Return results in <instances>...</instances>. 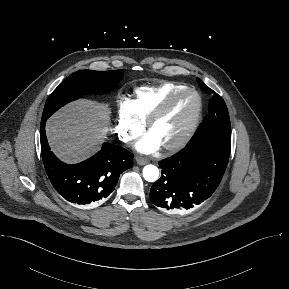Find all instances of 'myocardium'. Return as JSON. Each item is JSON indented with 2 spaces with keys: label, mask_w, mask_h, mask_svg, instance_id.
<instances>
[{
  "label": "myocardium",
  "mask_w": 289,
  "mask_h": 289,
  "mask_svg": "<svg viewBox=\"0 0 289 289\" xmlns=\"http://www.w3.org/2000/svg\"><path fill=\"white\" fill-rule=\"evenodd\" d=\"M184 94H191L196 98L197 104H196V109L194 111V114L183 132V134L175 141L162 145L163 149L168 150V151H173L181 148L184 146L190 138L193 136L195 133L201 114H202V108H203V102H202V97L200 93L191 87H184L181 89H178L172 93H170L153 111L152 113L148 116L146 120V129L148 132H150L152 126L158 121L171 107V105L174 103V101L179 98L180 96Z\"/></svg>",
  "instance_id": "f54148a6"
}]
</instances>
